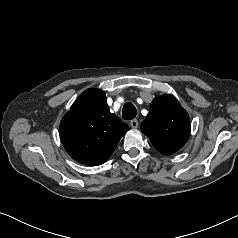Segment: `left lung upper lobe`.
<instances>
[{
    "label": "left lung upper lobe",
    "instance_id": "left-lung-upper-lobe-1",
    "mask_svg": "<svg viewBox=\"0 0 238 238\" xmlns=\"http://www.w3.org/2000/svg\"><path fill=\"white\" fill-rule=\"evenodd\" d=\"M140 127L153 146L165 155L181 149L190 135L188 113L173 95L153 99L149 114Z\"/></svg>",
    "mask_w": 238,
    "mask_h": 238
}]
</instances>
